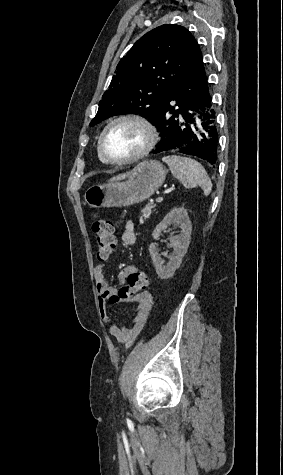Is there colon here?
Segmentation results:
<instances>
[{"instance_id": "obj_1", "label": "colon", "mask_w": 283, "mask_h": 475, "mask_svg": "<svg viewBox=\"0 0 283 475\" xmlns=\"http://www.w3.org/2000/svg\"><path fill=\"white\" fill-rule=\"evenodd\" d=\"M91 227L95 235L97 258L106 261L116 250L114 226L109 220L93 215ZM148 284L149 279L145 272H131L127 275V284L119 289L118 298L128 300L130 295L134 296L145 291Z\"/></svg>"}]
</instances>
